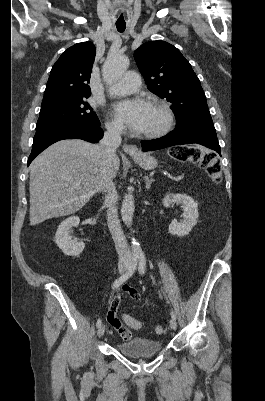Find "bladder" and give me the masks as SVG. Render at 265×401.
I'll use <instances>...</instances> for the list:
<instances>
[{
  "instance_id": "1",
  "label": "bladder",
  "mask_w": 265,
  "mask_h": 401,
  "mask_svg": "<svg viewBox=\"0 0 265 401\" xmlns=\"http://www.w3.org/2000/svg\"><path fill=\"white\" fill-rule=\"evenodd\" d=\"M117 350L134 357H148L162 349V341L135 338L125 343L116 344Z\"/></svg>"
}]
</instances>
